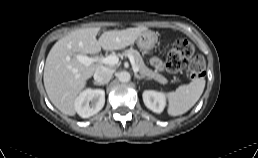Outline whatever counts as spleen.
<instances>
[{"instance_id":"spleen-1","label":"spleen","mask_w":258,"mask_h":158,"mask_svg":"<svg viewBox=\"0 0 258 158\" xmlns=\"http://www.w3.org/2000/svg\"><path fill=\"white\" fill-rule=\"evenodd\" d=\"M206 81L204 78H194L188 85L177 88L168 93V114L178 116L190 110L201 97Z\"/></svg>"}]
</instances>
